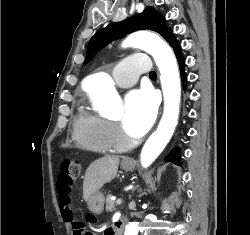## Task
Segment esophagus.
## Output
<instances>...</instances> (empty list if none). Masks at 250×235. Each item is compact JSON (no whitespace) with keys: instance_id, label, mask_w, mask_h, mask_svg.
Listing matches in <instances>:
<instances>
[{"instance_id":"34e87169","label":"esophagus","mask_w":250,"mask_h":235,"mask_svg":"<svg viewBox=\"0 0 250 235\" xmlns=\"http://www.w3.org/2000/svg\"><path fill=\"white\" fill-rule=\"evenodd\" d=\"M123 162L124 163H133V160L131 158H124Z\"/></svg>"}]
</instances>
